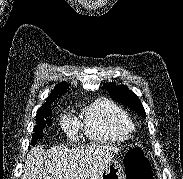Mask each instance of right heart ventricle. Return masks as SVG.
I'll list each match as a JSON object with an SVG mask.
<instances>
[{
	"label": "right heart ventricle",
	"mask_w": 183,
	"mask_h": 179,
	"mask_svg": "<svg viewBox=\"0 0 183 179\" xmlns=\"http://www.w3.org/2000/svg\"><path fill=\"white\" fill-rule=\"evenodd\" d=\"M82 127L95 141H124L134 129L126 111L106 98L95 100L85 109Z\"/></svg>",
	"instance_id": "right-heart-ventricle-1"
}]
</instances>
